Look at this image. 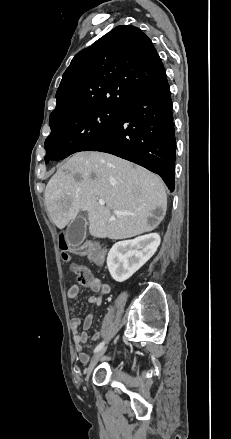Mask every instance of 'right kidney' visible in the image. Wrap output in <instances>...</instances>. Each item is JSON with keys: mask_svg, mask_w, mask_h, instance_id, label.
I'll use <instances>...</instances> for the list:
<instances>
[{"mask_svg": "<svg viewBox=\"0 0 231 439\" xmlns=\"http://www.w3.org/2000/svg\"><path fill=\"white\" fill-rule=\"evenodd\" d=\"M160 236L150 233L133 240L115 243L107 257V266L112 278L123 282L139 270L157 251Z\"/></svg>", "mask_w": 231, "mask_h": 439, "instance_id": "1", "label": "right kidney"}]
</instances>
